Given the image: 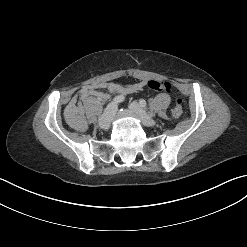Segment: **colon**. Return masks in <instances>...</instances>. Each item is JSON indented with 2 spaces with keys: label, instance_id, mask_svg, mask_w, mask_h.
<instances>
[{
  "label": "colon",
  "instance_id": "5ec220e1",
  "mask_svg": "<svg viewBox=\"0 0 247 247\" xmlns=\"http://www.w3.org/2000/svg\"><path fill=\"white\" fill-rule=\"evenodd\" d=\"M148 87L154 91H161V92H172V85L166 81H159V80H150L147 83ZM182 112V99L180 97L175 98V107L173 109V116L174 118H178Z\"/></svg>",
  "mask_w": 247,
  "mask_h": 247
}]
</instances>
